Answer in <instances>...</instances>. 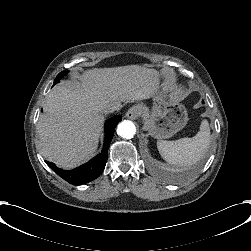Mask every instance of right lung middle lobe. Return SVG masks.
<instances>
[{
	"instance_id": "dd1d6c3e",
	"label": "right lung middle lobe",
	"mask_w": 251,
	"mask_h": 251,
	"mask_svg": "<svg viewBox=\"0 0 251 251\" xmlns=\"http://www.w3.org/2000/svg\"><path fill=\"white\" fill-rule=\"evenodd\" d=\"M66 74H67V71H62L61 73H59V74L57 75V77H56V79H55L53 85H55L56 83H58L59 80H60L61 78H63Z\"/></svg>"
}]
</instances>
